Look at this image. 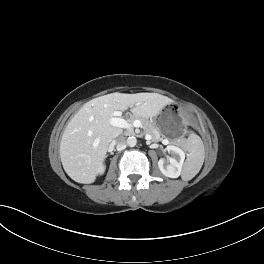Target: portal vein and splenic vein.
<instances>
[{"label":"portal vein and splenic vein","mask_w":264,"mask_h":264,"mask_svg":"<svg viewBox=\"0 0 264 264\" xmlns=\"http://www.w3.org/2000/svg\"><path fill=\"white\" fill-rule=\"evenodd\" d=\"M121 115L122 113L120 111H114L113 117L110 118V124L124 129H129L131 126L140 127L142 125L140 120H135L133 124H130L125 119L120 118Z\"/></svg>","instance_id":"18ae733b"}]
</instances>
